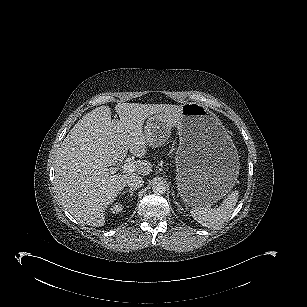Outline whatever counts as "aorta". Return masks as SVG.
I'll list each match as a JSON object with an SVG mask.
<instances>
[{
  "label": "aorta",
  "instance_id": "obj_1",
  "mask_svg": "<svg viewBox=\"0 0 307 307\" xmlns=\"http://www.w3.org/2000/svg\"><path fill=\"white\" fill-rule=\"evenodd\" d=\"M152 191L157 195H162L166 191V185L163 181H154L152 184Z\"/></svg>",
  "mask_w": 307,
  "mask_h": 307
}]
</instances>
